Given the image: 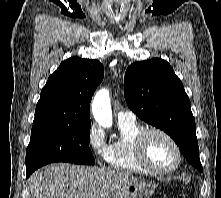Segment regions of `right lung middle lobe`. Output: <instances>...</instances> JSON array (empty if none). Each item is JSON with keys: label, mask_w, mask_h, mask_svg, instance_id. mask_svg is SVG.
<instances>
[{"label": "right lung middle lobe", "mask_w": 221, "mask_h": 198, "mask_svg": "<svg viewBox=\"0 0 221 198\" xmlns=\"http://www.w3.org/2000/svg\"><path fill=\"white\" fill-rule=\"evenodd\" d=\"M90 126L33 125L26 151V173L58 161L94 165L89 148Z\"/></svg>", "instance_id": "obj_1"}]
</instances>
